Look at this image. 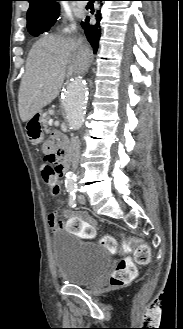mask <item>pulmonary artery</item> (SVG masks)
<instances>
[{
  "instance_id": "pulmonary-artery-1",
  "label": "pulmonary artery",
  "mask_w": 183,
  "mask_h": 329,
  "mask_svg": "<svg viewBox=\"0 0 183 329\" xmlns=\"http://www.w3.org/2000/svg\"><path fill=\"white\" fill-rule=\"evenodd\" d=\"M78 6H79L80 8H84V7H85L84 4H78Z\"/></svg>"
}]
</instances>
